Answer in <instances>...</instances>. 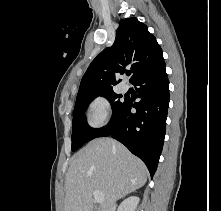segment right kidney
Here are the masks:
<instances>
[{
  "instance_id": "1",
  "label": "right kidney",
  "mask_w": 221,
  "mask_h": 211,
  "mask_svg": "<svg viewBox=\"0 0 221 211\" xmlns=\"http://www.w3.org/2000/svg\"><path fill=\"white\" fill-rule=\"evenodd\" d=\"M139 201V197L130 196L119 205L117 211H135Z\"/></svg>"
}]
</instances>
